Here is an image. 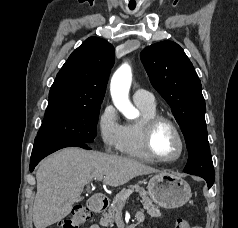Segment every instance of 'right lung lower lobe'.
Returning <instances> with one entry per match:
<instances>
[{
  "mask_svg": "<svg viewBox=\"0 0 238 228\" xmlns=\"http://www.w3.org/2000/svg\"><path fill=\"white\" fill-rule=\"evenodd\" d=\"M81 147L84 149H90L85 142L76 140L58 141V142H43L34 143L31 160H30V171H33L35 166L47 155L65 148V147Z\"/></svg>",
  "mask_w": 238,
  "mask_h": 228,
  "instance_id": "1",
  "label": "right lung lower lobe"
}]
</instances>
